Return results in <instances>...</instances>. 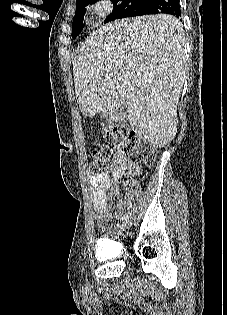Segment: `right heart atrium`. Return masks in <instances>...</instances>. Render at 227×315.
<instances>
[{"mask_svg":"<svg viewBox=\"0 0 227 315\" xmlns=\"http://www.w3.org/2000/svg\"><path fill=\"white\" fill-rule=\"evenodd\" d=\"M111 0H95L89 6L90 13L97 18H104L112 12Z\"/></svg>","mask_w":227,"mask_h":315,"instance_id":"d8ad5b80","label":"right heart atrium"}]
</instances>
